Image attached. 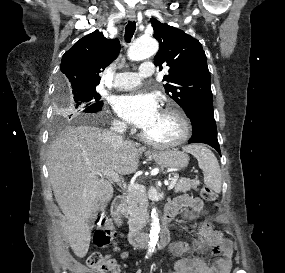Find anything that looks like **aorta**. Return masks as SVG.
<instances>
[{
  "label": "aorta",
  "mask_w": 285,
  "mask_h": 273,
  "mask_svg": "<svg viewBox=\"0 0 285 273\" xmlns=\"http://www.w3.org/2000/svg\"><path fill=\"white\" fill-rule=\"evenodd\" d=\"M159 49L158 42L153 38H139L129 48L128 57L132 61H140L147 59L157 53ZM151 229H150V241L148 244V253H153L157 245L160 233V223L158 213L155 208L151 213Z\"/></svg>",
  "instance_id": "762f6f07"
}]
</instances>
